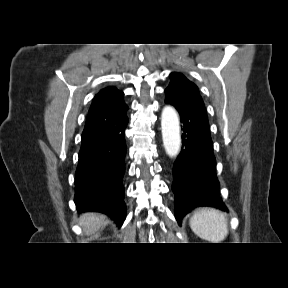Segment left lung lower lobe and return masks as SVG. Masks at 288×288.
Instances as JSON below:
<instances>
[{
	"mask_svg": "<svg viewBox=\"0 0 288 288\" xmlns=\"http://www.w3.org/2000/svg\"><path fill=\"white\" fill-rule=\"evenodd\" d=\"M165 103L177 109L183 130L182 151L172 170L177 222L181 225L183 217L200 206L228 211L218 191L216 159L204 103L182 101L169 95Z\"/></svg>",
	"mask_w": 288,
	"mask_h": 288,
	"instance_id": "0a47b994",
	"label": "left lung lower lobe"
}]
</instances>
